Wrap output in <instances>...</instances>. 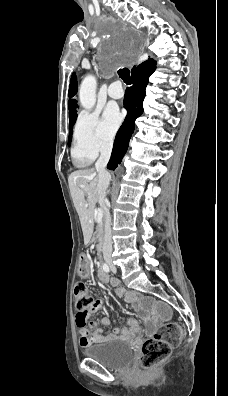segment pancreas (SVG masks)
Wrapping results in <instances>:
<instances>
[{
	"label": "pancreas",
	"mask_w": 228,
	"mask_h": 396,
	"mask_svg": "<svg viewBox=\"0 0 228 396\" xmlns=\"http://www.w3.org/2000/svg\"><path fill=\"white\" fill-rule=\"evenodd\" d=\"M93 219H94V216H93ZM92 227H93V220H92ZM93 232H94V234H93L91 244H94V242H97L96 249H97V252L100 254L102 251V243H103V236H104L102 222L98 223L96 229H93Z\"/></svg>",
	"instance_id": "1"
}]
</instances>
